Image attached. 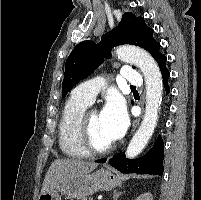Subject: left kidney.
<instances>
[{
  "label": "left kidney",
  "instance_id": "1",
  "mask_svg": "<svg viewBox=\"0 0 201 200\" xmlns=\"http://www.w3.org/2000/svg\"><path fill=\"white\" fill-rule=\"evenodd\" d=\"M136 200H153V198H152V194L147 192V193L141 194L139 197H137Z\"/></svg>",
  "mask_w": 201,
  "mask_h": 200
}]
</instances>
